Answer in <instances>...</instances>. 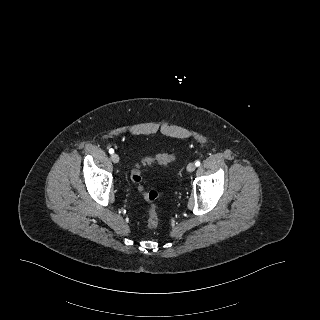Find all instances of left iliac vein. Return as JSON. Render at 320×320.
Returning <instances> with one entry per match:
<instances>
[{
  "label": "left iliac vein",
  "instance_id": "obj_1",
  "mask_svg": "<svg viewBox=\"0 0 320 320\" xmlns=\"http://www.w3.org/2000/svg\"><path fill=\"white\" fill-rule=\"evenodd\" d=\"M196 169V165L194 163H189L187 166L188 172H193Z\"/></svg>",
  "mask_w": 320,
  "mask_h": 320
}]
</instances>
